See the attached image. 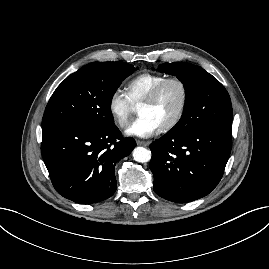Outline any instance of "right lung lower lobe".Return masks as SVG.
Returning a JSON list of instances; mask_svg holds the SVG:
<instances>
[{
	"mask_svg": "<svg viewBox=\"0 0 269 269\" xmlns=\"http://www.w3.org/2000/svg\"><path fill=\"white\" fill-rule=\"evenodd\" d=\"M41 152L56 191L79 204L106 200L116 191L114 168L136 146L116 125L96 129L74 122L42 126Z\"/></svg>",
	"mask_w": 269,
	"mask_h": 269,
	"instance_id": "1",
	"label": "right lung lower lobe"
}]
</instances>
